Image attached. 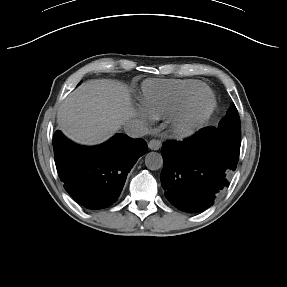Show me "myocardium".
Returning a JSON list of instances; mask_svg holds the SVG:
<instances>
[{"mask_svg": "<svg viewBox=\"0 0 287 287\" xmlns=\"http://www.w3.org/2000/svg\"><path fill=\"white\" fill-rule=\"evenodd\" d=\"M202 97L208 98V105L200 113L194 114L193 107ZM216 105L215 95L209 88L206 87L192 93L171 116L173 133L180 138L192 135L210 118Z\"/></svg>", "mask_w": 287, "mask_h": 287, "instance_id": "myocardium-1", "label": "myocardium"}]
</instances>
